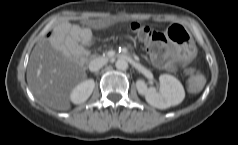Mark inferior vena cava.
Listing matches in <instances>:
<instances>
[{"label":"inferior vena cava","mask_w":238,"mask_h":145,"mask_svg":"<svg viewBox=\"0 0 238 145\" xmlns=\"http://www.w3.org/2000/svg\"><path fill=\"white\" fill-rule=\"evenodd\" d=\"M107 61L108 60L104 57H97L90 61L89 70L92 72H96L100 70L107 63Z\"/></svg>","instance_id":"1"}]
</instances>
